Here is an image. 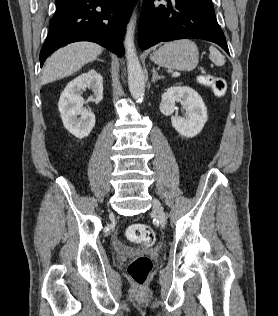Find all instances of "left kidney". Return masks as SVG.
<instances>
[{
	"label": "left kidney",
	"instance_id": "left-kidney-1",
	"mask_svg": "<svg viewBox=\"0 0 278 316\" xmlns=\"http://www.w3.org/2000/svg\"><path fill=\"white\" fill-rule=\"evenodd\" d=\"M183 102L188 111V116L182 118L173 116L175 103ZM160 111L166 116H171V123L181 135L192 138L198 135L207 121V109L200 95L192 88L170 87L162 94Z\"/></svg>",
	"mask_w": 278,
	"mask_h": 316
}]
</instances>
